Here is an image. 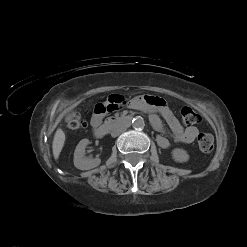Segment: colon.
I'll return each instance as SVG.
<instances>
[{
  "mask_svg": "<svg viewBox=\"0 0 247 247\" xmlns=\"http://www.w3.org/2000/svg\"><path fill=\"white\" fill-rule=\"evenodd\" d=\"M181 118L186 126L195 125L200 121V115L190 106H184L181 109ZM84 126H85L84 120L80 115H76L69 123V128L71 130H78L80 128H83ZM198 146L202 152L207 153L212 151L214 147L213 136L209 133L200 134L198 137Z\"/></svg>",
  "mask_w": 247,
  "mask_h": 247,
  "instance_id": "colon-1",
  "label": "colon"
}]
</instances>
